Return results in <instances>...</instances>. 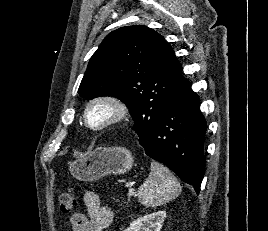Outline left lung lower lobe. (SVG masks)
Listing matches in <instances>:
<instances>
[{"mask_svg": "<svg viewBox=\"0 0 268 231\" xmlns=\"http://www.w3.org/2000/svg\"><path fill=\"white\" fill-rule=\"evenodd\" d=\"M205 134L199 97L187 81L170 98L155 125L139 135V142L148 156L166 164L198 194L205 172Z\"/></svg>", "mask_w": 268, "mask_h": 231, "instance_id": "0a47b994", "label": "left lung lower lobe"}]
</instances>
